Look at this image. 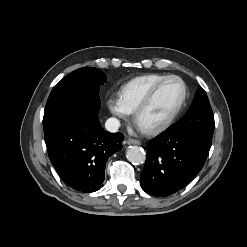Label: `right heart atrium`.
<instances>
[{
    "label": "right heart atrium",
    "instance_id": "right-heart-atrium-1",
    "mask_svg": "<svg viewBox=\"0 0 247 247\" xmlns=\"http://www.w3.org/2000/svg\"><path fill=\"white\" fill-rule=\"evenodd\" d=\"M106 104H107L109 111L114 116H116L120 119H126L128 117L129 113L124 109L119 98L112 96V97L108 98Z\"/></svg>",
    "mask_w": 247,
    "mask_h": 247
}]
</instances>
